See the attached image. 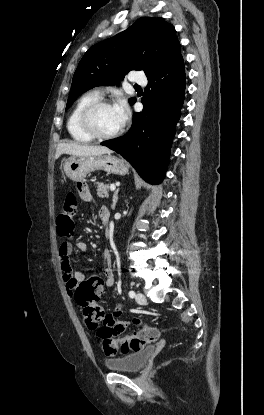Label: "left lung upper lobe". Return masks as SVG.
I'll use <instances>...</instances> for the list:
<instances>
[{"label": "left lung upper lobe", "mask_w": 264, "mask_h": 415, "mask_svg": "<svg viewBox=\"0 0 264 415\" xmlns=\"http://www.w3.org/2000/svg\"><path fill=\"white\" fill-rule=\"evenodd\" d=\"M174 27L163 18L143 17L127 30L91 47L74 73L66 109L85 91L118 84L131 70L157 73L181 55ZM136 101L129 99L130 104Z\"/></svg>", "instance_id": "left-lung-upper-lobe-1"}]
</instances>
